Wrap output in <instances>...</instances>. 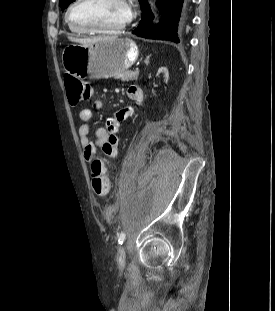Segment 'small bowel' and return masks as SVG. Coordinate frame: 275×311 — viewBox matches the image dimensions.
Masks as SVG:
<instances>
[{
	"mask_svg": "<svg viewBox=\"0 0 275 311\" xmlns=\"http://www.w3.org/2000/svg\"><path fill=\"white\" fill-rule=\"evenodd\" d=\"M128 97L136 102L142 99V90L138 86H130L127 90ZM134 110L132 107H125L118 110L112 117L106 121L105 127L95 129V140L89 136V121L92 117V110L84 108L78 114V134L84 158L89 163L103 156L115 157L118 153V132L120 122L132 116ZM98 147L100 148L98 150Z\"/></svg>",
	"mask_w": 275,
	"mask_h": 311,
	"instance_id": "c3829d8e",
	"label": "small bowel"
}]
</instances>
